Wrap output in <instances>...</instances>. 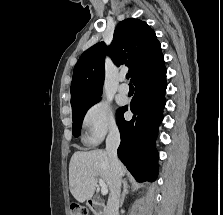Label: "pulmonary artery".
Returning a JSON list of instances; mask_svg holds the SVG:
<instances>
[{
    "label": "pulmonary artery",
    "instance_id": "1",
    "mask_svg": "<svg viewBox=\"0 0 223 215\" xmlns=\"http://www.w3.org/2000/svg\"><path fill=\"white\" fill-rule=\"evenodd\" d=\"M119 82L120 84L118 85V91L122 94H127L129 92V86L125 83L124 75L119 76Z\"/></svg>",
    "mask_w": 223,
    "mask_h": 215
}]
</instances>
